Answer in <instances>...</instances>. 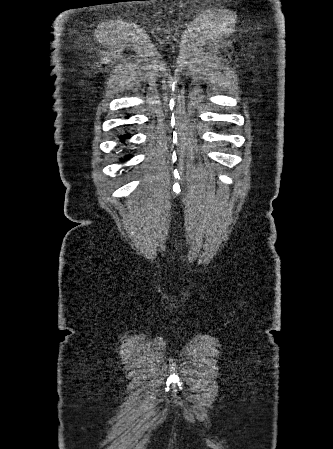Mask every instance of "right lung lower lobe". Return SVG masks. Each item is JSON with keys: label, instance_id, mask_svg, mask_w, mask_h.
Returning <instances> with one entry per match:
<instances>
[{"label": "right lung lower lobe", "instance_id": "obj_1", "mask_svg": "<svg viewBox=\"0 0 333 449\" xmlns=\"http://www.w3.org/2000/svg\"><path fill=\"white\" fill-rule=\"evenodd\" d=\"M128 137H130V135L129 134H127V135H125V136H121V140L123 141L124 140V138H128ZM130 158V156H125L124 157V159H121V161H125V160H128Z\"/></svg>", "mask_w": 333, "mask_h": 449}]
</instances>
